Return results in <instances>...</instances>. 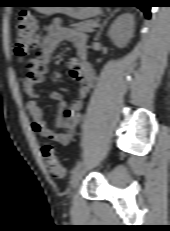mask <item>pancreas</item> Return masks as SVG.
<instances>
[{
	"label": "pancreas",
	"mask_w": 170,
	"mask_h": 231,
	"mask_svg": "<svg viewBox=\"0 0 170 231\" xmlns=\"http://www.w3.org/2000/svg\"><path fill=\"white\" fill-rule=\"evenodd\" d=\"M71 26L74 27L76 30L91 33L93 32V28L97 26V21L87 20L83 22L73 23L71 24Z\"/></svg>",
	"instance_id": "obj_1"
}]
</instances>
